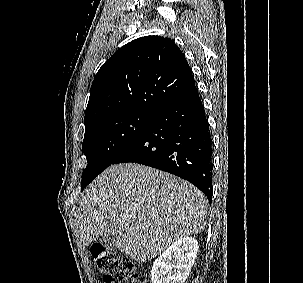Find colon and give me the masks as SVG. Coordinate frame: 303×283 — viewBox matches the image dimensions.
<instances>
[{
	"label": "colon",
	"instance_id": "colon-1",
	"mask_svg": "<svg viewBox=\"0 0 303 283\" xmlns=\"http://www.w3.org/2000/svg\"><path fill=\"white\" fill-rule=\"evenodd\" d=\"M90 253L104 283H148L138 266L127 257L99 244H93Z\"/></svg>",
	"mask_w": 303,
	"mask_h": 283
}]
</instances>
